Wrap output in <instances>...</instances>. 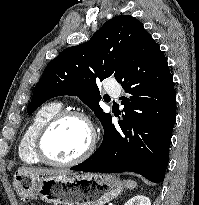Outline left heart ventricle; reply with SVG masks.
Instances as JSON below:
<instances>
[{
  "label": "left heart ventricle",
  "instance_id": "left-heart-ventricle-1",
  "mask_svg": "<svg viewBox=\"0 0 199 205\" xmlns=\"http://www.w3.org/2000/svg\"><path fill=\"white\" fill-rule=\"evenodd\" d=\"M89 131L77 118H67L56 124L44 142L47 155L55 160L66 161L78 156L87 146Z\"/></svg>",
  "mask_w": 199,
  "mask_h": 205
}]
</instances>
